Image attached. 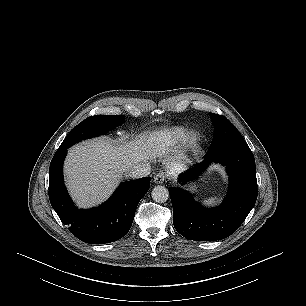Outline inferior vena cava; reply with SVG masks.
Instances as JSON below:
<instances>
[{
  "mask_svg": "<svg viewBox=\"0 0 306 306\" xmlns=\"http://www.w3.org/2000/svg\"><path fill=\"white\" fill-rule=\"evenodd\" d=\"M127 176L141 178L150 174V166L145 163H138L127 171Z\"/></svg>",
  "mask_w": 306,
  "mask_h": 306,
  "instance_id": "obj_1",
  "label": "inferior vena cava"
}]
</instances>
